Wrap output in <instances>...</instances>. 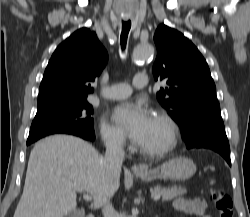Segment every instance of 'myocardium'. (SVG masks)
I'll use <instances>...</instances> for the list:
<instances>
[{"label":"myocardium","instance_id":"myocardium-1","mask_svg":"<svg viewBox=\"0 0 250 217\" xmlns=\"http://www.w3.org/2000/svg\"><path fill=\"white\" fill-rule=\"evenodd\" d=\"M155 117H157L167 128L168 138L166 143L156 149H147L140 147V151L150 157H159L166 155L172 151L178 141L179 128L175 120L166 112L158 110L155 112Z\"/></svg>","mask_w":250,"mask_h":217}]
</instances>
